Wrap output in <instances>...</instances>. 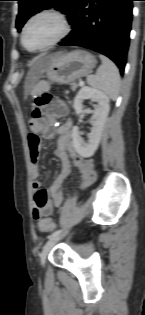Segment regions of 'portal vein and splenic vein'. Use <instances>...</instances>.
I'll list each match as a JSON object with an SVG mask.
<instances>
[{
  "label": "portal vein and splenic vein",
  "instance_id": "18ae733b",
  "mask_svg": "<svg viewBox=\"0 0 145 315\" xmlns=\"http://www.w3.org/2000/svg\"><path fill=\"white\" fill-rule=\"evenodd\" d=\"M84 85V82L83 81H80L79 82V86H83Z\"/></svg>",
  "mask_w": 145,
  "mask_h": 315
}]
</instances>
